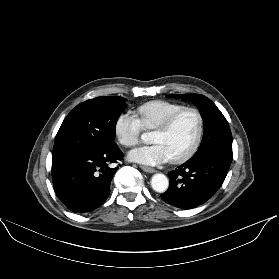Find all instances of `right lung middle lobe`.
<instances>
[{
	"mask_svg": "<svg viewBox=\"0 0 279 279\" xmlns=\"http://www.w3.org/2000/svg\"><path fill=\"white\" fill-rule=\"evenodd\" d=\"M125 99L97 97L77 105L62 122L53 154L101 151L115 143L116 123L125 108Z\"/></svg>",
	"mask_w": 279,
	"mask_h": 279,
	"instance_id": "1",
	"label": "right lung middle lobe"
}]
</instances>
